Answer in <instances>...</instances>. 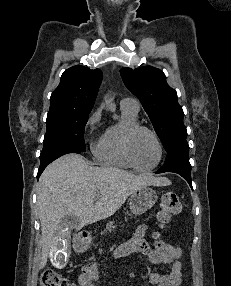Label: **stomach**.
<instances>
[{"mask_svg": "<svg viewBox=\"0 0 231 286\" xmlns=\"http://www.w3.org/2000/svg\"><path fill=\"white\" fill-rule=\"evenodd\" d=\"M156 192L150 187H143L133 192L129 198V206L132 214L141 215L151 209L157 201ZM80 250H86L89 246L86 243H79Z\"/></svg>", "mask_w": 231, "mask_h": 286, "instance_id": "stomach-1", "label": "stomach"}]
</instances>
